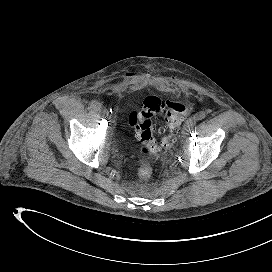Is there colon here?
<instances>
[{"label":"colon","mask_w":272,"mask_h":272,"mask_svg":"<svg viewBox=\"0 0 272 272\" xmlns=\"http://www.w3.org/2000/svg\"><path fill=\"white\" fill-rule=\"evenodd\" d=\"M187 109L186 101H165L156 96H148L140 108L130 114L129 124L143 144V147L133 157V164L138 167L141 177L147 178L151 175L152 158L160 150L167 149L172 145ZM161 112L165 116L168 134L158 143L152 135V128L154 117Z\"/></svg>","instance_id":"colon-1"}]
</instances>
